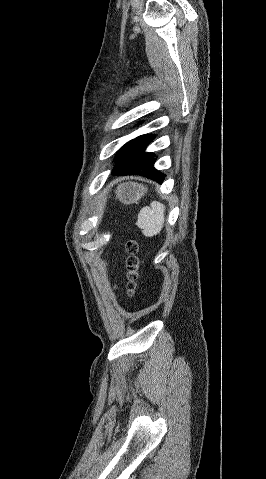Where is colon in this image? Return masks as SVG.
Listing matches in <instances>:
<instances>
[{"label":"colon","instance_id":"obj_1","mask_svg":"<svg viewBox=\"0 0 266 479\" xmlns=\"http://www.w3.org/2000/svg\"><path fill=\"white\" fill-rule=\"evenodd\" d=\"M128 257L125 264V276L127 281V292L130 296H134L141 279V259L139 257V244L130 240L127 243Z\"/></svg>","mask_w":266,"mask_h":479}]
</instances>
